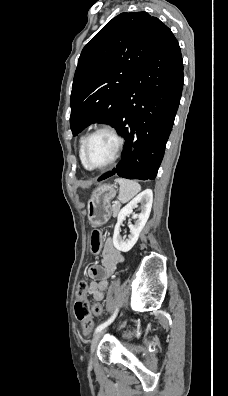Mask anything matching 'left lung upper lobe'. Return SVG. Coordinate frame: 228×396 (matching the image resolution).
<instances>
[{
	"instance_id": "left-lung-upper-lobe-1",
	"label": "left lung upper lobe",
	"mask_w": 228,
	"mask_h": 396,
	"mask_svg": "<svg viewBox=\"0 0 228 396\" xmlns=\"http://www.w3.org/2000/svg\"><path fill=\"white\" fill-rule=\"evenodd\" d=\"M162 27L147 12L122 13L83 48L70 101L74 136L94 121L108 120L114 127L129 87Z\"/></svg>"
}]
</instances>
